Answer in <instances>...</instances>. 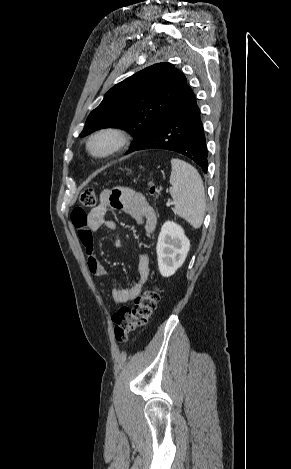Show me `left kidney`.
Returning <instances> with one entry per match:
<instances>
[{"instance_id": "1", "label": "left kidney", "mask_w": 291, "mask_h": 469, "mask_svg": "<svg viewBox=\"0 0 291 469\" xmlns=\"http://www.w3.org/2000/svg\"><path fill=\"white\" fill-rule=\"evenodd\" d=\"M190 241L183 228L173 221L163 224L157 242V259L160 274L172 276L180 268L189 252Z\"/></svg>"}]
</instances>
